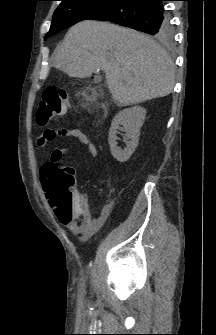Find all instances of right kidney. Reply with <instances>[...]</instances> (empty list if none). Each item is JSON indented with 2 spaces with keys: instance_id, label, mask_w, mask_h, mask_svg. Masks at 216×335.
I'll use <instances>...</instances> for the list:
<instances>
[{
  "instance_id": "obj_1",
  "label": "right kidney",
  "mask_w": 216,
  "mask_h": 335,
  "mask_svg": "<svg viewBox=\"0 0 216 335\" xmlns=\"http://www.w3.org/2000/svg\"><path fill=\"white\" fill-rule=\"evenodd\" d=\"M146 116V109L140 106H134L131 108L120 111L112 121L108 142L112 156L119 162L127 161L136 147L138 146L140 128L142 127ZM123 126V130L126 132L125 138L130 139L127 142V147L122 150L117 147V132Z\"/></svg>"
}]
</instances>
